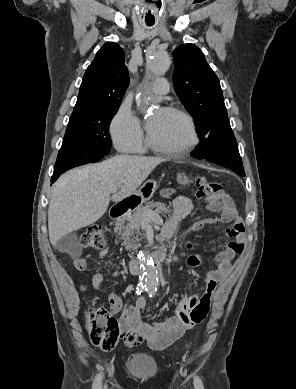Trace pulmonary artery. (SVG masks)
Wrapping results in <instances>:
<instances>
[{"label": "pulmonary artery", "mask_w": 296, "mask_h": 389, "mask_svg": "<svg viewBox=\"0 0 296 389\" xmlns=\"http://www.w3.org/2000/svg\"><path fill=\"white\" fill-rule=\"evenodd\" d=\"M151 90L155 94H166L169 91V84L164 78H157L151 85Z\"/></svg>", "instance_id": "obj_1"}]
</instances>
